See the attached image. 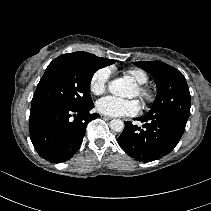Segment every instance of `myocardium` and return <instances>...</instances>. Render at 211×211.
I'll list each match as a JSON object with an SVG mask.
<instances>
[{
  "label": "myocardium",
  "mask_w": 211,
  "mask_h": 211,
  "mask_svg": "<svg viewBox=\"0 0 211 211\" xmlns=\"http://www.w3.org/2000/svg\"><path fill=\"white\" fill-rule=\"evenodd\" d=\"M138 95L147 104H153L157 97L156 91L145 84L139 85Z\"/></svg>",
  "instance_id": "1"
}]
</instances>
